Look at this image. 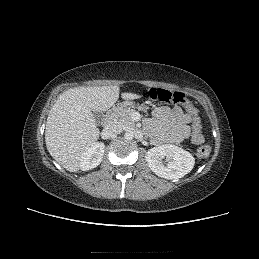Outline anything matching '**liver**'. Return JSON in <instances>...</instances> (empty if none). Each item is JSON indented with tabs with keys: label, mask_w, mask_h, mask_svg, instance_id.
<instances>
[{
	"label": "liver",
	"mask_w": 259,
	"mask_h": 259,
	"mask_svg": "<svg viewBox=\"0 0 259 259\" xmlns=\"http://www.w3.org/2000/svg\"><path fill=\"white\" fill-rule=\"evenodd\" d=\"M140 95L124 92L125 100ZM119 98L118 86L75 87L63 92L50 109L45 142L50 155L70 172L80 169L83 154L98 139L100 131L93 112H105Z\"/></svg>",
	"instance_id": "obj_1"
}]
</instances>
